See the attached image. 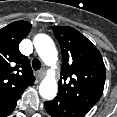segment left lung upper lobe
<instances>
[{"label": "left lung upper lobe", "instance_id": "left-lung-upper-lobe-1", "mask_svg": "<svg viewBox=\"0 0 117 117\" xmlns=\"http://www.w3.org/2000/svg\"><path fill=\"white\" fill-rule=\"evenodd\" d=\"M62 49L59 97L88 112L100 99L105 84V65L98 49L71 27L53 26Z\"/></svg>", "mask_w": 117, "mask_h": 117}]
</instances>
